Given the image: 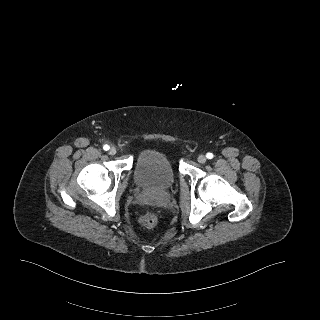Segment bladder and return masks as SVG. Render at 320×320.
I'll list each match as a JSON object with an SVG mask.
<instances>
[{
  "label": "bladder",
  "mask_w": 320,
  "mask_h": 320,
  "mask_svg": "<svg viewBox=\"0 0 320 320\" xmlns=\"http://www.w3.org/2000/svg\"><path fill=\"white\" fill-rule=\"evenodd\" d=\"M134 179L143 190L163 191L173 186L175 171L164 153L155 149H146L138 155Z\"/></svg>",
  "instance_id": "obj_1"
}]
</instances>
